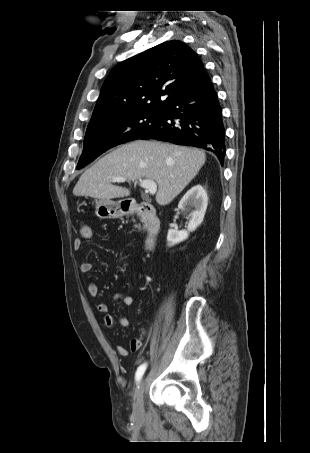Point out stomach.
Listing matches in <instances>:
<instances>
[{"label":"stomach","instance_id":"0dacf381","mask_svg":"<svg viewBox=\"0 0 310 453\" xmlns=\"http://www.w3.org/2000/svg\"><path fill=\"white\" fill-rule=\"evenodd\" d=\"M123 200L112 201L107 199H97L95 201V214L100 219H116L128 213V210L123 205Z\"/></svg>","mask_w":310,"mask_h":453}]
</instances>
